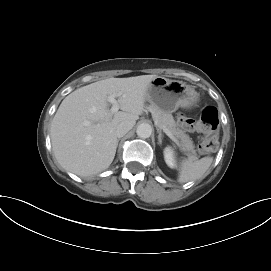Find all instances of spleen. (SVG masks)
I'll list each match as a JSON object with an SVG mask.
<instances>
[{
  "instance_id": "obj_1",
  "label": "spleen",
  "mask_w": 271,
  "mask_h": 271,
  "mask_svg": "<svg viewBox=\"0 0 271 271\" xmlns=\"http://www.w3.org/2000/svg\"><path fill=\"white\" fill-rule=\"evenodd\" d=\"M213 162V157H203L200 160L182 159L179 167L178 181L186 183L203 177Z\"/></svg>"
}]
</instances>
